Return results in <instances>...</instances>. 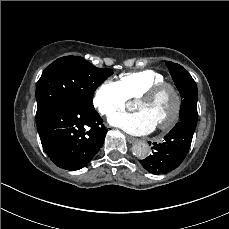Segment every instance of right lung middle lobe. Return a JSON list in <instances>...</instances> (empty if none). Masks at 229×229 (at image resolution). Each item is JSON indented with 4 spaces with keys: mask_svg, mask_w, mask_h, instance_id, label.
<instances>
[{
    "mask_svg": "<svg viewBox=\"0 0 229 229\" xmlns=\"http://www.w3.org/2000/svg\"><path fill=\"white\" fill-rule=\"evenodd\" d=\"M112 74V69L97 68L79 56L57 59L43 71L37 83L36 121L64 101L94 109L92 100L95 90Z\"/></svg>",
    "mask_w": 229,
    "mask_h": 229,
    "instance_id": "obj_1",
    "label": "right lung middle lobe"
}]
</instances>
